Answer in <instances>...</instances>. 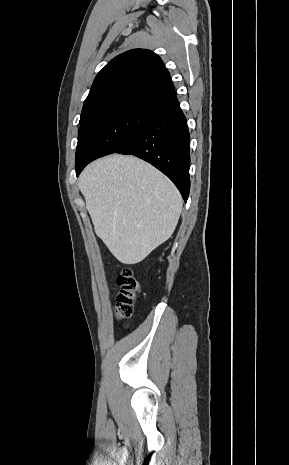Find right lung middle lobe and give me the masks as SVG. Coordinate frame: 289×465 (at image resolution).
Segmentation results:
<instances>
[{
  "label": "right lung middle lobe",
  "instance_id": "1",
  "mask_svg": "<svg viewBox=\"0 0 289 465\" xmlns=\"http://www.w3.org/2000/svg\"><path fill=\"white\" fill-rule=\"evenodd\" d=\"M161 108V104L147 101H124L80 121L76 165L115 153L153 120Z\"/></svg>",
  "mask_w": 289,
  "mask_h": 465
}]
</instances>
